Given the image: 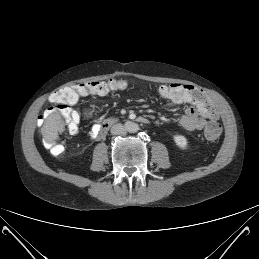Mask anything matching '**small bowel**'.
<instances>
[{
  "label": "small bowel",
  "mask_w": 259,
  "mask_h": 259,
  "mask_svg": "<svg viewBox=\"0 0 259 259\" xmlns=\"http://www.w3.org/2000/svg\"><path fill=\"white\" fill-rule=\"evenodd\" d=\"M184 103H190L185 113L180 118L181 126L188 131H195L203 129L209 122L215 120L218 117L216 109L209 103L207 97L199 101L190 99L187 102H168V106L179 105ZM100 130V123L92 125L88 135L90 138H97Z\"/></svg>",
  "instance_id": "c3829d8e"
}]
</instances>
